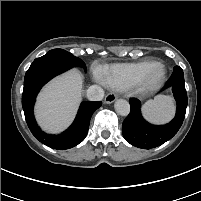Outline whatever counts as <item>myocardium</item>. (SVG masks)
Listing matches in <instances>:
<instances>
[{
  "label": "myocardium",
  "instance_id": "obj_1",
  "mask_svg": "<svg viewBox=\"0 0 201 201\" xmlns=\"http://www.w3.org/2000/svg\"><path fill=\"white\" fill-rule=\"evenodd\" d=\"M166 76V66L161 62H155L144 72L136 86L142 92L153 91L164 83Z\"/></svg>",
  "mask_w": 201,
  "mask_h": 201
}]
</instances>
